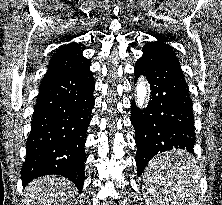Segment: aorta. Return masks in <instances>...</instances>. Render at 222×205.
<instances>
[{
  "mask_svg": "<svg viewBox=\"0 0 222 205\" xmlns=\"http://www.w3.org/2000/svg\"><path fill=\"white\" fill-rule=\"evenodd\" d=\"M133 94L135 95L138 107L144 108L148 101V85L144 77H141L138 80L137 85L133 90Z\"/></svg>",
  "mask_w": 222,
  "mask_h": 205,
  "instance_id": "1",
  "label": "aorta"
}]
</instances>
